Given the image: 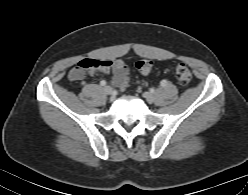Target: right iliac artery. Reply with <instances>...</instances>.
<instances>
[{
    "label": "right iliac artery",
    "instance_id": "1",
    "mask_svg": "<svg viewBox=\"0 0 248 195\" xmlns=\"http://www.w3.org/2000/svg\"><path fill=\"white\" fill-rule=\"evenodd\" d=\"M100 84H101V86H105V85H106V81L102 80V81L100 82Z\"/></svg>",
    "mask_w": 248,
    "mask_h": 195
}]
</instances>
